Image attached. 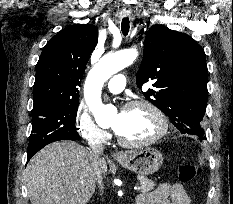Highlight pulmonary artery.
Returning <instances> with one entry per match:
<instances>
[{"mask_svg": "<svg viewBox=\"0 0 233 204\" xmlns=\"http://www.w3.org/2000/svg\"><path fill=\"white\" fill-rule=\"evenodd\" d=\"M126 85V77L123 74L114 75L107 84V89L111 93H120L123 91Z\"/></svg>", "mask_w": 233, "mask_h": 204, "instance_id": "e3ab8cb5", "label": "pulmonary artery"}]
</instances>
